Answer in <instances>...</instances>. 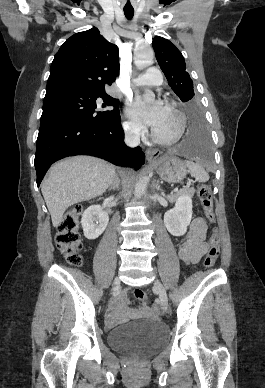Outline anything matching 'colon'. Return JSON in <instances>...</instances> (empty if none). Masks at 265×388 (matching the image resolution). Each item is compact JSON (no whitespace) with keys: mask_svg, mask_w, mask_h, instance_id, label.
<instances>
[{"mask_svg":"<svg viewBox=\"0 0 265 388\" xmlns=\"http://www.w3.org/2000/svg\"><path fill=\"white\" fill-rule=\"evenodd\" d=\"M197 195L206 219L209 223L215 224L216 217L210 187L205 184L199 185ZM82 211L83 208L80 205L69 210L59 223L57 234V245L61 253L71 265L77 267L82 264V258L80 256L82 238L79 231L80 216ZM219 253L220 239L216 228H214L211 236L209 237V249L204 259L205 266H213L219 257ZM134 296L142 302H145L148 299L147 293L141 289H135Z\"/></svg>","mask_w":265,"mask_h":388,"instance_id":"colon-1","label":"colon"}]
</instances>
